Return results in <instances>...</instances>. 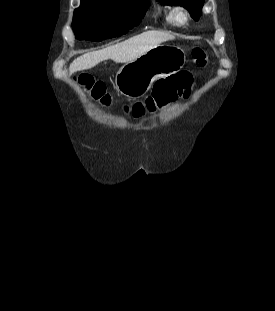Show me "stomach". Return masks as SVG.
Masks as SVG:
<instances>
[{
  "mask_svg": "<svg viewBox=\"0 0 275 311\" xmlns=\"http://www.w3.org/2000/svg\"><path fill=\"white\" fill-rule=\"evenodd\" d=\"M186 62V54L177 45L163 44L144 55L125 63L115 76V87L127 97H141L155 79L179 72Z\"/></svg>",
  "mask_w": 275,
  "mask_h": 311,
  "instance_id": "stomach-1",
  "label": "stomach"
}]
</instances>
